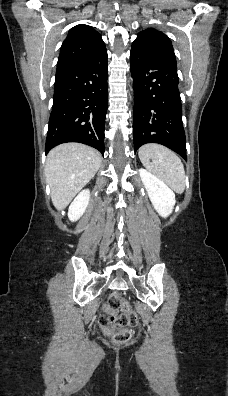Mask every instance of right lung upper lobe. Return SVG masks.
<instances>
[{
  "mask_svg": "<svg viewBox=\"0 0 228 396\" xmlns=\"http://www.w3.org/2000/svg\"><path fill=\"white\" fill-rule=\"evenodd\" d=\"M106 48L101 35L92 27L79 24L70 29L64 40L57 63L63 65L83 61Z\"/></svg>",
  "mask_w": 228,
  "mask_h": 396,
  "instance_id": "right-lung-upper-lobe-1",
  "label": "right lung upper lobe"
}]
</instances>
